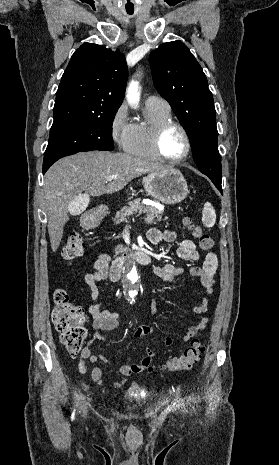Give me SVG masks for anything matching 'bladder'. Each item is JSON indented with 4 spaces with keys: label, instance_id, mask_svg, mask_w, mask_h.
Returning a JSON list of instances; mask_svg holds the SVG:
<instances>
[{
    "label": "bladder",
    "instance_id": "obj_1",
    "mask_svg": "<svg viewBox=\"0 0 279 465\" xmlns=\"http://www.w3.org/2000/svg\"><path fill=\"white\" fill-rule=\"evenodd\" d=\"M131 396H133V397H138V396H139L138 390H133V391L131 392Z\"/></svg>",
    "mask_w": 279,
    "mask_h": 465
}]
</instances>
